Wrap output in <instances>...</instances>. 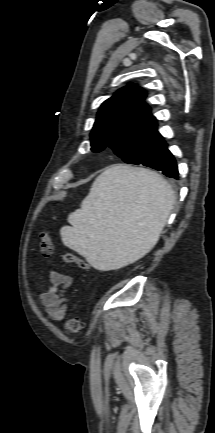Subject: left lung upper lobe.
Listing matches in <instances>:
<instances>
[{
	"mask_svg": "<svg viewBox=\"0 0 215 433\" xmlns=\"http://www.w3.org/2000/svg\"><path fill=\"white\" fill-rule=\"evenodd\" d=\"M145 97L142 88L129 85L103 102L91 132L93 152L109 146L126 163L160 164L166 143Z\"/></svg>",
	"mask_w": 215,
	"mask_h": 433,
	"instance_id": "1",
	"label": "left lung upper lobe"
}]
</instances>
